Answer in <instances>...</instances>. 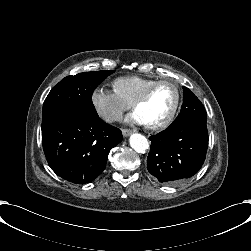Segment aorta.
<instances>
[{
	"label": "aorta",
	"instance_id": "1",
	"mask_svg": "<svg viewBox=\"0 0 251 251\" xmlns=\"http://www.w3.org/2000/svg\"><path fill=\"white\" fill-rule=\"evenodd\" d=\"M129 144L136 151L144 153L149 147L147 139L140 133H133L129 136Z\"/></svg>",
	"mask_w": 251,
	"mask_h": 251
}]
</instances>
